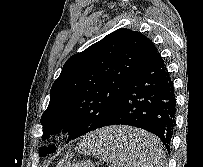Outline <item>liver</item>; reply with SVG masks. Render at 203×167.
Segmentation results:
<instances>
[{
    "label": "liver",
    "mask_w": 203,
    "mask_h": 167,
    "mask_svg": "<svg viewBox=\"0 0 203 167\" xmlns=\"http://www.w3.org/2000/svg\"><path fill=\"white\" fill-rule=\"evenodd\" d=\"M101 134L110 138H116L120 141H124L133 148H127V150L134 154H138L136 149L141 148L144 142L151 137L143 130L130 127H112L108 129V131H104V133Z\"/></svg>",
    "instance_id": "obj_1"
}]
</instances>
